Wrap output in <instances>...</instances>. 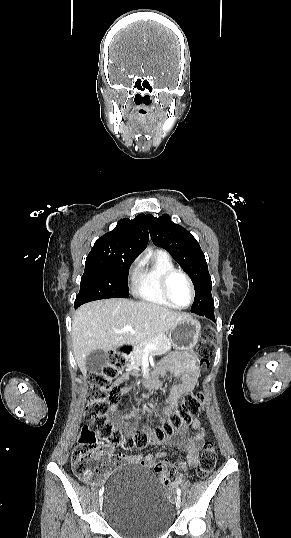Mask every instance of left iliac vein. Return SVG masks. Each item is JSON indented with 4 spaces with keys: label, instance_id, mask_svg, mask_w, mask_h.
<instances>
[{
    "label": "left iliac vein",
    "instance_id": "left-iliac-vein-1",
    "mask_svg": "<svg viewBox=\"0 0 291 538\" xmlns=\"http://www.w3.org/2000/svg\"><path fill=\"white\" fill-rule=\"evenodd\" d=\"M176 507L177 508L181 507V498L180 497H177V499H176Z\"/></svg>",
    "mask_w": 291,
    "mask_h": 538
}]
</instances>
